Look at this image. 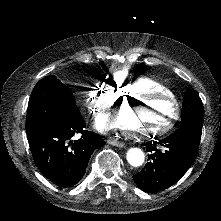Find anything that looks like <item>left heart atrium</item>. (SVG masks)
<instances>
[{
	"instance_id": "left-heart-atrium-1",
	"label": "left heart atrium",
	"mask_w": 221,
	"mask_h": 221,
	"mask_svg": "<svg viewBox=\"0 0 221 221\" xmlns=\"http://www.w3.org/2000/svg\"><path fill=\"white\" fill-rule=\"evenodd\" d=\"M137 123V114L132 109H123L105 113L100 118V127L105 132L132 128Z\"/></svg>"
}]
</instances>
